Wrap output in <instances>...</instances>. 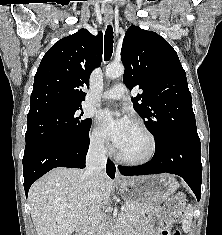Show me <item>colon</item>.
I'll list each match as a JSON object with an SVG mask.
<instances>
[{"mask_svg": "<svg viewBox=\"0 0 222 235\" xmlns=\"http://www.w3.org/2000/svg\"><path fill=\"white\" fill-rule=\"evenodd\" d=\"M184 202L179 196L171 197L163 207V220L167 228L161 232V235H180L178 230L172 228L173 223L184 214Z\"/></svg>", "mask_w": 222, "mask_h": 235, "instance_id": "obj_1", "label": "colon"}]
</instances>
